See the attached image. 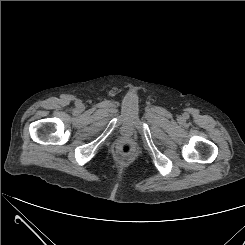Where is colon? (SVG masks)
<instances>
[{
  "instance_id": "obj_1",
  "label": "colon",
  "mask_w": 245,
  "mask_h": 245,
  "mask_svg": "<svg viewBox=\"0 0 245 245\" xmlns=\"http://www.w3.org/2000/svg\"><path fill=\"white\" fill-rule=\"evenodd\" d=\"M126 150L129 151L130 150V147L127 145L125 146Z\"/></svg>"
}]
</instances>
